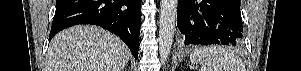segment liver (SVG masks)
<instances>
[{
    "label": "liver",
    "instance_id": "obj_1",
    "mask_svg": "<svg viewBox=\"0 0 301 71\" xmlns=\"http://www.w3.org/2000/svg\"><path fill=\"white\" fill-rule=\"evenodd\" d=\"M131 58L126 44L97 26L68 28L51 40L46 71H123Z\"/></svg>",
    "mask_w": 301,
    "mask_h": 71
}]
</instances>
